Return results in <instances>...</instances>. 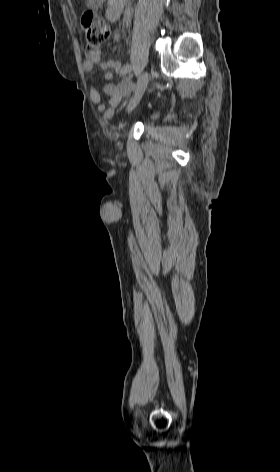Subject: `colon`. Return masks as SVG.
Here are the masks:
<instances>
[{"label":"colon","instance_id":"colon-1","mask_svg":"<svg viewBox=\"0 0 280 472\" xmlns=\"http://www.w3.org/2000/svg\"><path fill=\"white\" fill-rule=\"evenodd\" d=\"M81 27L85 35L86 55L91 57L98 52L102 42L109 37L110 28L91 11H86L81 15Z\"/></svg>","mask_w":280,"mask_h":472}]
</instances>
